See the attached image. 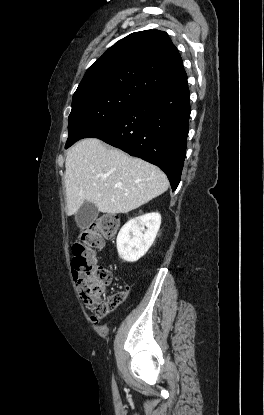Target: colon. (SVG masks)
I'll list each match as a JSON object with an SVG mask.
<instances>
[{"instance_id": "obj_1", "label": "colon", "mask_w": 264, "mask_h": 415, "mask_svg": "<svg viewBox=\"0 0 264 415\" xmlns=\"http://www.w3.org/2000/svg\"><path fill=\"white\" fill-rule=\"evenodd\" d=\"M119 217L108 214L93 221L72 247L71 269L78 275L77 288L90 317L99 321L116 309L126 298L125 292L107 296L112 269L97 264L96 251L103 249L105 240L113 239L118 230Z\"/></svg>"}]
</instances>
